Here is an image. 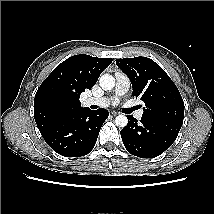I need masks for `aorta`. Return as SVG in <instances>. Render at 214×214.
<instances>
[{
    "label": "aorta",
    "mask_w": 214,
    "mask_h": 214,
    "mask_svg": "<svg viewBox=\"0 0 214 214\" xmlns=\"http://www.w3.org/2000/svg\"><path fill=\"white\" fill-rule=\"evenodd\" d=\"M99 84L105 91L112 90L115 86V78L112 75L104 74L100 77ZM115 124L123 128L128 124V119L124 115H118L115 118Z\"/></svg>",
    "instance_id": "762f6f07"
}]
</instances>
